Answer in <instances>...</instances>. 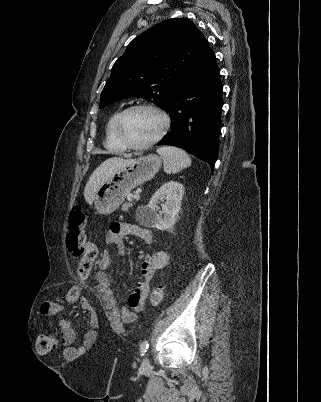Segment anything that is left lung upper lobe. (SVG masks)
I'll list each match as a JSON object with an SVG mask.
<instances>
[{"mask_svg": "<svg viewBox=\"0 0 321 402\" xmlns=\"http://www.w3.org/2000/svg\"><path fill=\"white\" fill-rule=\"evenodd\" d=\"M203 34L187 18L163 21L136 37L112 67L100 108L140 96L165 109L181 79L207 47Z\"/></svg>", "mask_w": 321, "mask_h": 402, "instance_id": "5c2ea615", "label": "left lung upper lobe"}]
</instances>
